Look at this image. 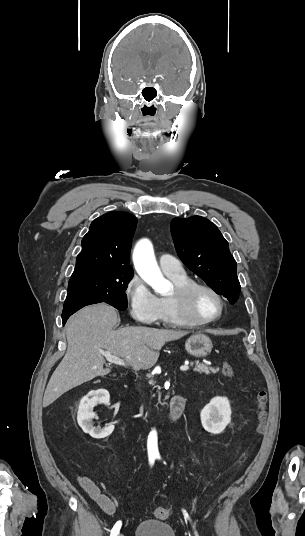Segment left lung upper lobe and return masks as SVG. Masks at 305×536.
Segmentation results:
<instances>
[{"mask_svg": "<svg viewBox=\"0 0 305 536\" xmlns=\"http://www.w3.org/2000/svg\"><path fill=\"white\" fill-rule=\"evenodd\" d=\"M171 233L183 263L217 294L235 303L241 290L237 263L217 226L201 216L174 218Z\"/></svg>", "mask_w": 305, "mask_h": 536, "instance_id": "1", "label": "left lung upper lobe"}]
</instances>
